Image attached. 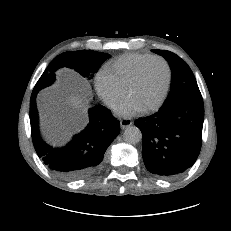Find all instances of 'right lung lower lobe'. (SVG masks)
<instances>
[{"instance_id": "1", "label": "right lung lower lobe", "mask_w": 231, "mask_h": 231, "mask_svg": "<svg viewBox=\"0 0 231 231\" xmlns=\"http://www.w3.org/2000/svg\"><path fill=\"white\" fill-rule=\"evenodd\" d=\"M37 92L30 99L31 135L38 156L56 174L77 180L93 174L103 160L104 153L120 132V123L104 106L89 110L90 122L86 129L63 148L46 144L38 132Z\"/></svg>"}]
</instances>
